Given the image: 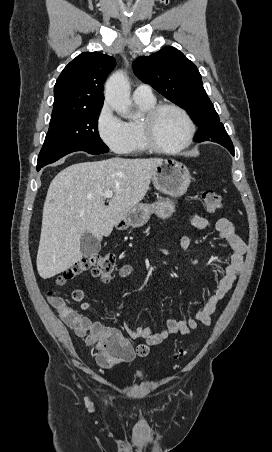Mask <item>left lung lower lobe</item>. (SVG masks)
I'll return each instance as SVG.
<instances>
[{
	"label": "left lung lower lobe",
	"instance_id": "obj_1",
	"mask_svg": "<svg viewBox=\"0 0 272 452\" xmlns=\"http://www.w3.org/2000/svg\"><path fill=\"white\" fill-rule=\"evenodd\" d=\"M219 144H221L222 146H224L226 149H228V151H229L232 155H234V147H233V144H232V141H231L230 138L227 139V140H225V141H219Z\"/></svg>",
	"mask_w": 272,
	"mask_h": 452
}]
</instances>
